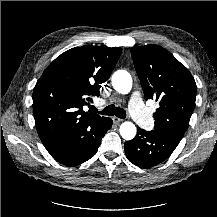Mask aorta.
I'll list each match as a JSON object with an SVG mask.
<instances>
[{"instance_id": "1", "label": "aorta", "mask_w": 217, "mask_h": 217, "mask_svg": "<svg viewBox=\"0 0 217 217\" xmlns=\"http://www.w3.org/2000/svg\"><path fill=\"white\" fill-rule=\"evenodd\" d=\"M112 86L120 94H127L132 89V77L126 70H118L112 76ZM120 135L125 140H132L136 136V127L132 122L126 121L120 125Z\"/></svg>"}]
</instances>
